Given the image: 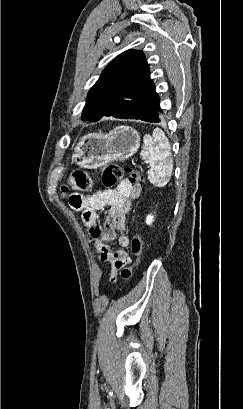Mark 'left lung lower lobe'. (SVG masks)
<instances>
[{
	"instance_id": "1",
	"label": "left lung lower lobe",
	"mask_w": 243,
	"mask_h": 409,
	"mask_svg": "<svg viewBox=\"0 0 243 409\" xmlns=\"http://www.w3.org/2000/svg\"><path fill=\"white\" fill-rule=\"evenodd\" d=\"M159 97L155 89L145 96L141 101L129 104L125 107V112L121 115L107 112L103 116L116 117L120 119H138L146 122H160ZM102 116V117H103Z\"/></svg>"
}]
</instances>
